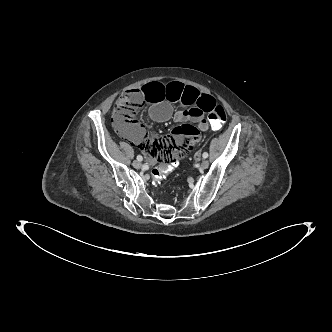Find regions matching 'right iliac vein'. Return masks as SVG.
I'll return each instance as SVG.
<instances>
[{
  "label": "right iliac vein",
  "mask_w": 332,
  "mask_h": 332,
  "mask_svg": "<svg viewBox=\"0 0 332 332\" xmlns=\"http://www.w3.org/2000/svg\"><path fill=\"white\" fill-rule=\"evenodd\" d=\"M133 166H134L136 169H140V168L142 167V164H141L140 161L135 160V161L133 162Z\"/></svg>",
  "instance_id": "obj_1"
}]
</instances>
